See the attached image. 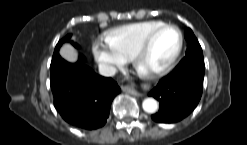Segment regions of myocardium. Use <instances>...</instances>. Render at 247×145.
I'll use <instances>...</instances> for the list:
<instances>
[{
  "label": "myocardium",
  "instance_id": "obj_1",
  "mask_svg": "<svg viewBox=\"0 0 247 145\" xmlns=\"http://www.w3.org/2000/svg\"><path fill=\"white\" fill-rule=\"evenodd\" d=\"M166 28H173L177 31L178 33V37H179V43H178V47L174 53V55L172 56V58L162 67L157 68L155 70H151L148 72H141L139 70V65L140 62L142 60V58L144 57V55L147 53V51L149 50L154 38L156 37V35L166 29ZM183 45H184V37L182 34V31L180 30V28L174 24H169V23H163L162 25L158 26L157 28L153 29L143 40V42L140 44V46L137 48V50L134 52V54L131 57V62L133 67L136 69V71L144 76L145 78L148 79H155L158 78L160 76H163L164 74H166L167 72H169L173 66L176 64L178 58L180 57V54L182 52L183 49Z\"/></svg>",
  "mask_w": 247,
  "mask_h": 145
}]
</instances>
